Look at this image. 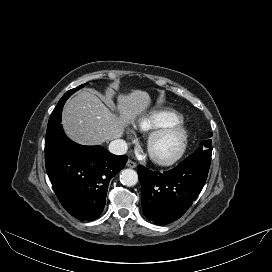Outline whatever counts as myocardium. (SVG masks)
Wrapping results in <instances>:
<instances>
[{
	"label": "myocardium",
	"mask_w": 272,
	"mask_h": 272,
	"mask_svg": "<svg viewBox=\"0 0 272 272\" xmlns=\"http://www.w3.org/2000/svg\"><path fill=\"white\" fill-rule=\"evenodd\" d=\"M168 137L177 140L175 149L169 153H161L158 148ZM190 134L187 127L182 123H174L165 128L155 131L149 138L147 150L151 159L162 166H171L178 162L185 154L189 144Z\"/></svg>",
	"instance_id": "1"
}]
</instances>
